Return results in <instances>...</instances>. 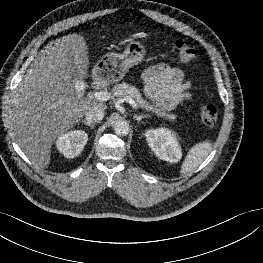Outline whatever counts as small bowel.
Listing matches in <instances>:
<instances>
[{"label": "small bowel", "instance_id": "obj_1", "mask_svg": "<svg viewBox=\"0 0 263 263\" xmlns=\"http://www.w3.org/2000/svg\"><path fill=\"white\" fill-rule=\"evenodd\" d=\"M146 94L160 107L172 109L182 100L190 99L191 83L179 68L158 64L143 73Z\"/></svg>", "mask_w": 263, "mask_h": 263}]
</instances>
